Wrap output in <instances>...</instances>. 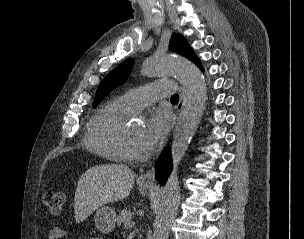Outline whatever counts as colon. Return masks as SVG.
Masks as SVG:
<instances>
[{
  "instance_id": "1",
  "label": "colon",
  "mask_w": 304,
  "mask_h": 239,
  "mask_svg": "<svg viewBox=\"0 0 304 239\" xmlns=\"http://www.w3.org/2000/svg\"><path fill=\"white\" fill-rule=\"evenodd\" d=\"M66 195L62 191L47 192L43 195V202L52 214H59L64 206Z\"/></svg>"
}]
</instances>
